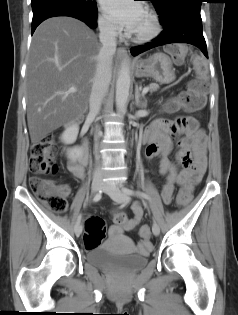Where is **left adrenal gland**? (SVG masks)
<instances>
[{
  "label": "left adrenal gland",
  "mask_w": 238,
  "mask_h": 315,
  "mask_svg": "<svg viewBox=\"0 0 238 315\" xmlns=\"http://www.w3.org/2000/svg\"><path fill=\"white\" fill-rule=\"evenodd\" d=\"M143 99V101H141ZM135 105L137 107H146L147 100L144 96V94L141 93L140 88L138 87V84L135 85Z\"/></svg>",
  "instance_id": "1"
}]
</instances>
